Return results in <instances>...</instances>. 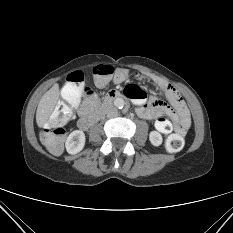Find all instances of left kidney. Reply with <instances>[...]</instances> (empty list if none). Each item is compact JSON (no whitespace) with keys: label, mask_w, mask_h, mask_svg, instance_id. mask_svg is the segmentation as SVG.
<instances>
[{"label":"left kidney","mask_w":233,"mask_h":233,"mask_svg":"<svg viewBox=\"0 0 233 233\" xmlns=\"http://www.w3.org/2000/svg\"><path fill=\"white\" fill-rule=\"evenodd\" d=\"M149 140H150L152 145L160 146L162 144L163 138L159 132L151 131L149 134Z\"/></svg>","instance_id":"1"}]
</instances>
